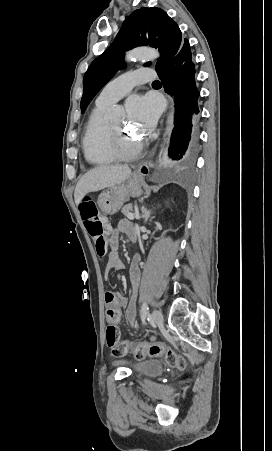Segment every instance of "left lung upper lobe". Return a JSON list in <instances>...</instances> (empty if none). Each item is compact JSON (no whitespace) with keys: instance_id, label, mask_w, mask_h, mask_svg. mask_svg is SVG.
I'll return each instance as SVG.
<instances>
[{"instance_id":"left-lung-upper-lobe-1","label":"left lung upper lobe","mask_w":272,"mask_h":451,"mask_svg":"<svg viewBox=\"0 0 272 451\" xmlns=\"http://www.w3.org/2000/svg\"><path fill=\"white\" fill-rule=\"evenodd\" d=\"M183 40L177 23L160 8L142 7L126 16L115 41L91 63L84 75L82 113L105 83L124 67V51L147 45L158 48L161 58L155 69L159 71L174 58Z\"/></svg>"}]
</instances>
